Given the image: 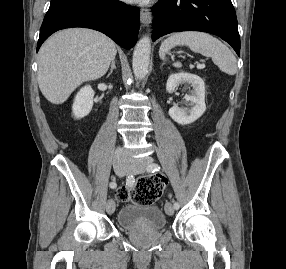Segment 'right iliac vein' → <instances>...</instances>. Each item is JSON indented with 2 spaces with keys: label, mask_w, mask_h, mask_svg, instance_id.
<instances>
[{
  "label": "right iliac vein",
  "mask_w": 286,
  "mask_h": 269,
  "mask_svg": "<svg viewBox=\"0 0 286 269\" xmlns=\"http://www.w3.org/2000/svg\"><path fill=\"white\" fill-rule=\"evenodd\" d=\"M128 171V167L127 166H118L115 169V172L118 176H124L126 174V172ZM106 211L108 214H113V212L115 211V203L113 200H108L107 204H106Z\"/></svg>",
  "instance_id": "obj_1"
}]
</instances>
